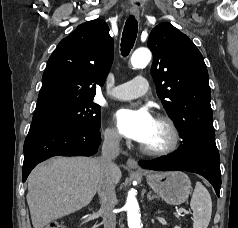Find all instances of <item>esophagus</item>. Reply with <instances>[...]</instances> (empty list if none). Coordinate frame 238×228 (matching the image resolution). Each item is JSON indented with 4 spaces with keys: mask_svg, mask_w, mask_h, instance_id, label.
I'll return each instance as SVG.
<instances>
[{
    "mask_svg": "<svg viewBox=\"0 0 238 228\" xmlns=\"http://www.w3.org/2000/svg\"><path fill=\"white\" fill-rule=\"evenodd\" d=\"M130 12H131V14H132L133 16H135L136 18L139 17L140 11H139V9H138L137 7H132V8L130 9ZM127 166H128L129 168H131V169L140 170L137 161H136L135 159H133V158H129V159L127 160Z\"/></svg>",
    "mask_w": 238,
    "mask_h": 228,
    "instance_id": "esophagus-1",
    "label": "esophagus"
}]
</instances>
